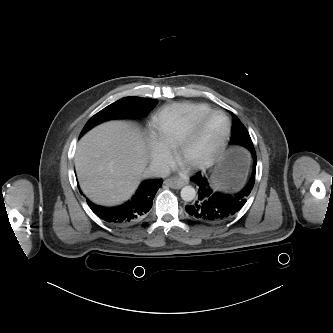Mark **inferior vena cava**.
<instances>
[{
    "label": "inferior vena cava",
    "instance_id": "obj_1",
    "mask_svg": "<svg viewBox=\"0 0 333 333\" xmlns=\"http://www.w3.org/2000/svg\"><path fill=\"white\" fill-rule=\"evenodd\" d=\"M148 176L165 178L170 174V168L165 164L153 163L146 171Z\"/></svg>",
    "mask_w": 333,
    "mask_h": 333
}]
</instances>
